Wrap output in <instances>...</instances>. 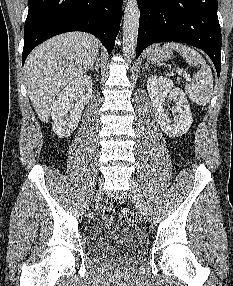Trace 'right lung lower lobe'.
<instances>
[{"label": "right lung lower lobe", "mask_w": 233, "mask_h": 286, "mask_svg": "<svg viewBox=\"0 0 233 286\" xmlns=\"http://www.w3.org/2000/svg\"><path fill=\"white\" fill-rule=\"evenodd\" d=\"M122 18V0H29L22 64L45 40L69 31L96 36L110 53Z\"/></svg>", "instance_id": "obj_1"}]
</instances>
